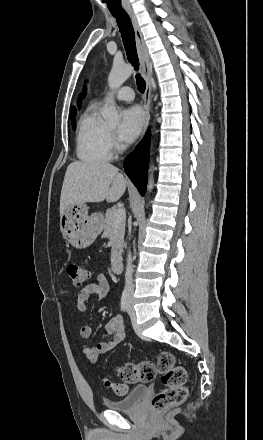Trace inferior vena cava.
Wrapping results in <instances>:
<instances>
[{
	"label": "inferior vena cava",
	"mask_w": 263,
	"mask_h": 440,
	"mask_svg": "<svg viewBox=\"0 0 263 440\" xmlns=\"http://www.w3.org/2000/svg\"><path fill=\"white\" fill-rule=\"evenodd\" d=\"M130 232V229H129ZM132 262V258H131V254L129 253L128 255V260H127V268H126V292L128 296H132L133 295V282H132V272H133V268L131 265Z\"/></svg>",
	"instance_id": "obj_1"
}]
</instances>
